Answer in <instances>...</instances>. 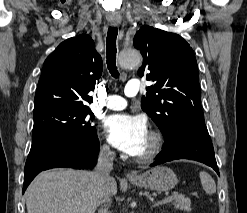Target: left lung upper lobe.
<instances>
[{"label": "left lung upper lobe", "instance_id": "left-lung-upper-lobe-1", "mask_svg": "<svg viewBox=\"0 0 247 213\" xmlns=\"http://www.w3.org/2000/svg\"><path fill=\"white\" fill-rule=\"evenodd\" d=\"M134 47L144 58L138 75L155 82L146 88L142 109L165 138L178 125L205 123L197 61L190 45L179 35L144 25L134 37Z\"/></svg>", "mask_w": 247, "mask_h": 213}]
</instances>
